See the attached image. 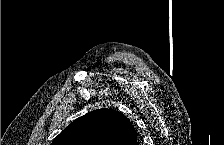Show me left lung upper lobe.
Here are the masks:
<instances>
[{"mask_svg":"<svg viewBox=\"0 0 224 145\" xmlns=\"http://www.w3.org/2000/svg\"><path fill=\"white\" fill-rule=\"evenodd\" d=\"M52 145H138L131 121L111 109L91 111L73 121Z\"/></svg>","mask_w":224,"mask_h":145,"instance_id":"5c2ea615","label":"left lung upper lobe"}]
</instances>
